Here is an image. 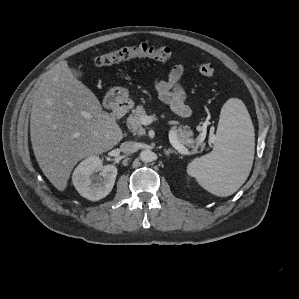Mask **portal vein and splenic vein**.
<instances>
[{"label":"portal vein and splenic vein","mask_w":299,"mask_h":299,"mask_svg":"<svg viewBox=\"0 0 299 299\" xmlns=\"http://www.w3.org/2000/svg\"><path fill=\"white\" fill-rule=\"evenodd\" d=\"M155 120L154 116L144 115L141 117V122L144 125H149ZM169 140L173 147L182 155H189L191 152L183 145L179 143L176 137V133L173 129L169 131Z\"/></svg>","instance_id":"portal-vein-and-splenic-vein-1"}]
</instances>
